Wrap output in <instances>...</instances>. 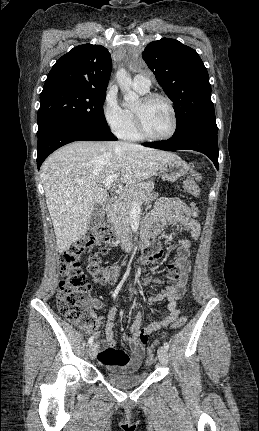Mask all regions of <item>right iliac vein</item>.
Masks as SVG:
<instances>
[{
	"label": "right iliac vein",
	"instance_id": "right-iliac-vein-1",
	"mask_svg": "<svg viewBox=\"0 0 259 431\" xmlns=\"http://www.w3.org/2000/svg\"><path fill=\"white\" fill-rule=\"evenodd\" d=\"M89 355L91 359H95L97 355V346L95 344H91V346L89 347Z\"/></svg>",
	"mask_w": 259,
	"mask_h": 431
}]
</instances>
